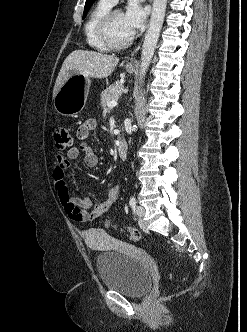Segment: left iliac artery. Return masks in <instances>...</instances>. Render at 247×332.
Listing matches in <instances>:
<instances>
[{"mask_svg":"<svg viewBox=\"0 0 247 332\" xmlns=\"http://www.w3.org/2000/svg\"><path fill=\"white\" fill-rule=\"evenodd\" d=\"M129 205H130L131 208H135V206H136V198L134 196H132L130 198Z\"/></svg>","mask_w":247,"mask_h":332,"instance_id":"obj_1","label":"left iliac artery"}]
</instances>
